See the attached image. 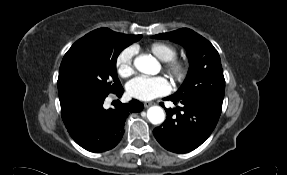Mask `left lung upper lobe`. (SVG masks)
I'll return each instance as SVG.
<instances>
[{"label":"left lung upper lobe","instance_id":"1","mask_svg":"<svg viewBox=\"0 0 287 175\" xmlns=\"http://www.w3.org/2000/svg\"><path fill=\"white\" fill-rule=\"evenodd\" d=\"M181 44L188 52V76L181 88L172 96L177 99H195L222 109L225 79L220 56L214 46L201 35L188 28L154 35Z\"/></svg>","mask_w":287,"mask_h":175}]
</instances>
